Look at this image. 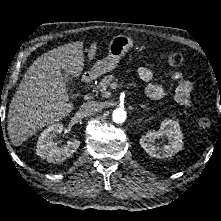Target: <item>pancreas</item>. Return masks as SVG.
Instances as JSON below:
<instances>
[{
	"label": "pancreas",
	"mask_w": 221,
	"mask_h": 221,
	"mask_svg": "<svg viewBox=\"0 0 221 221\" xmlns=\"http://www.w3.org/2000/svg\"><path fill=\"white\" fill-rule=\"evenodd\" d=\"M113 80H115V77L113 75H107L98 84L97 91L100 92L103 97L107 98L110 96V91L108 90V86L111 84Z\"/></svg>",
	"instance_id": "pancreas-1"
}]
</instances>
